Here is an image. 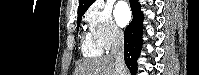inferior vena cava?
Returning a JSON list of instances; mask_svg holds the SVG:
<instances>
[{"label": "inferior vena cava", "mask_w": 199, "mask_h": 75, "mask_svg": "<svg viewBox=\"0 0 199 75\" xmlns=\"http://www.w3.org/2000/svg\"><path fill=\"white\" fill-rule=\"evenodd\" d=\"M110 55L115 60L116 75H126L127 68L124 62V36L119 30L112 32V48Z\"/></svg>", "instance_id": "1"}]
</instances>
